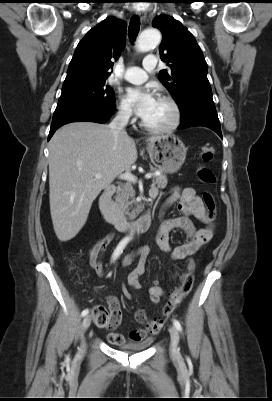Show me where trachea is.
<instances>
[{
	"mask_svg": "<svg viewBox=\"0 0 272 401\" xmlns=\"http://www.w3.org/2000/svg\"><path fill=\"white\" fill-rule=\"evenodd\" d=\"M140 30V20L137 16H134L130 20L129 28H128V35L132 42L135 41L138 33Z\"/></svg>",
	"mask_w": 272,
	"mask_h": 401,
	"instance_id": "3493384b",
	"label": "trachea"
}]
</instances>
